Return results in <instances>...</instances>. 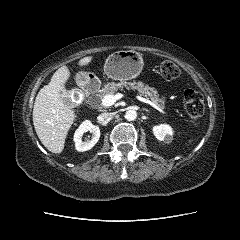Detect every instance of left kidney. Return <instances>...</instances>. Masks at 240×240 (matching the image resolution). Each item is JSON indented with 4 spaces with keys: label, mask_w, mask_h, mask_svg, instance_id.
Listing matches in <instances>:
<instances>
[{
    "label": "left kidney",
    "mask_w": 240,
    "mask_h": 240,
    "mask_svg": "<svg viewBox=\"0 0 240 240\" xmlns=\"http://www.w3.org/2000/svg\"><path fill=\"white\" fill-rule=\"evenodd\" d=\"M153 133L158 140L165 141L166 143H170L173 139L172 128L167 124H161L158 126H154Z\"/></svg>",
    "instance_id": "obj_1"
}]
</instances>
